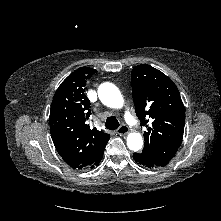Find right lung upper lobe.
Instances as JSON below:
<instances>
[{
    "mask_svg": "<svg viewBox=\"0 0 221 221\" xmlns=\"http://www.w3.org/2000/svg\"><path fill=\"white\" fill-rule=\"evenodd\" d=\"M96 70L81 67L56 90L50 109V133L63 160L74 169L91 167L104 152L110 135L91 129L90 101L84 93L86 80Z\"/></svg>",
    "mask_w": 221,
    "mask_h": 221,
    "instance_id": "1",
    "label": "right lung upper lobe"
}]
</instances>
